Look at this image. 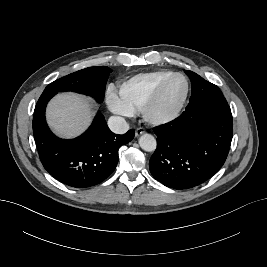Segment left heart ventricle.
<instances>
[{"label":"left heart ventricle","instance_id":"b2bd125f","mask_svg":"<svg viewBox=\"0 0 267 267\" xmlns=\"http://www.w3.org/2000/svg\"><path fill=\"white\" fill-rule=\"evenodd\" d=\"M186 84L182 78H174L166 86L162 97L158 103V112H168L172 110L182 99Z\"/></svg>","mask_w":267,"mask_h":267}]
</instances>
